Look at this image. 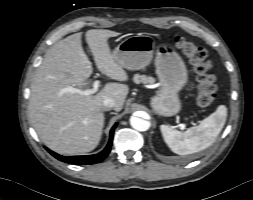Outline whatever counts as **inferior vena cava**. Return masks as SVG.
Listing matches in <instances>:
<instances>
[{
  "instance_id": "obj_1",
  "label": "inferior vena cava",
  "mask_w": 253,
  "mask_h": 200,
  "mask_svg": "<svg viewBox=\"0 0 253 200\" xmlns=\"http://www.w3.org/2000/svg\"><path fill=\"white\" fill-rule=\"evenodd\" d=\"M115 107V100L112 98H106L103 101V107L102 110L107 111Z\"/></svg>"
}]
</instances>
